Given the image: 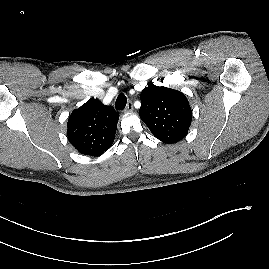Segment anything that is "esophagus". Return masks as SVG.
Returning a JSON list of instances; mask_svg holds the SVG:
<instances>
[{
    "label": "esophagus",
    "mask_w": 269,
    "mask_h": 269,
    "mask_svg": "<svg viewBox=\"0 0 269 269\" xmlns=\"http://www.w3.org/2000/svg\"><path fill=\"white\" fill-rule=\"evenodd\" d=\"M124 111L127 112V113L133 111V104H132V102H128L127 103V106H126V108H125Z\"/></svg>",
    "instance_id": "1"
}]
</instances>
